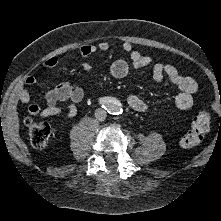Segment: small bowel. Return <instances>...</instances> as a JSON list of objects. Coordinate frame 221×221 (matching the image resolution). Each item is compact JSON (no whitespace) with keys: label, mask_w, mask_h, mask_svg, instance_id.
I'll return each mask as SVG.
<instances>
[{"label":"small bowel","mask_w":221,"mask_h":221,"mask_svg":"<svg viewBox=\"0 0 221 221\" xmlns=\"http://www.w3.org/2000/svg\"><path fill=\"white\" fill-rule=\"evenodd\" d=\"M122 49L128 54L131 66L135 69L144 68L151 64L152 60L149 56L141 54L134 49L132 44L127 41L121 42ZM109 43L101 41L97 44H84L79 48V53L83 58H88L97 51H108ZM60 59L51 57L45 62V69H52L58 66ZM82 68L86 72L92 70L89 62L84 61ZM130 64L124 60L115 61L110 68L111 74L115 78H124L128 75ZM40 78V74H34L27 78V83L34 84ZM153 78L157 83L167 80L170 84L177 88L178 94L175 98V107L179 110L189 109L193 105L194 95L198 90L196 81L188 76L182 75L173 65L166 63H156L153 67ZM83 90L69 82H61L45 93V108L31 101V96L27 90H22L19 99L28 106V111L32 115H39L43 118H49L63 112L60 103L69 102L65 109L67 118H74L77 113V105L83 99ZM128 105L135 111L144 113L149 110V105L136 94H130L126 99Z\"/></svg>","instance_id":"small-bowel-1"}]
</instances>
